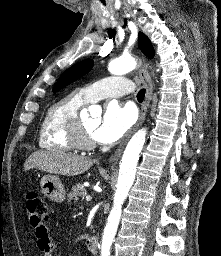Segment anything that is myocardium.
<instances>
[{"mask_svg": "<svg viewBox=\"0 0 221 256\" xmlns=\"http://www.w3.org/2000/svg\"><path fill=\"white\" fill-rule=\"evenodd\" d=\"M72 136L76 147L80 149L90 150L95 147V142L85 131L81 119L78 117L72 131Z\"/></svg>", "mask_w": 221, "mask_h": 256, "instance_id": "obj_1", "label": "myocardium"}]
</instances>
